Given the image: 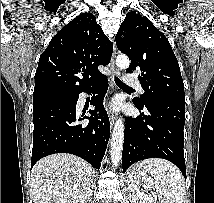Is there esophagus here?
I'll return each instance as SVG.
<instances>
[{
  "label": "esophagus",
  "mask_w": 214,
  "mask_h": 203,
  "mask_svg": "<svg viewBox=\"0 0 214 203\" xmlns=\"http://www.w3.org/2000/svg\"><path fill=\"white\" fill-rule=\"evenodd\" d=\"M116 54H117V51H116V46L114 44L113 53H112V57H111V61H110V67H111V71H112V76H111V78H112V85H113V78L117 77V76H120V71H119V69L115 65ZM109 120H110V128L112 129L113 125H114V121H115L114 114L110 115Z\"/></svg>",
  "instance_id": "1"
}]
</instances>
